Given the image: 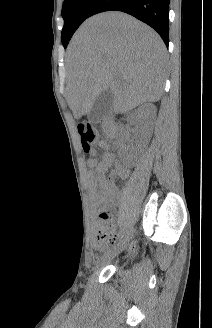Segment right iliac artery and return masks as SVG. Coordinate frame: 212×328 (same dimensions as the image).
<instances>
[{
	"label": "right iliac artery",
	"instance_id": "82829eb1",
	"mask_svg": "<svg viewBox=\"0 0 212 328\" xmlns=\"http://www.w3.org/2000/svg\"><path fill=\"white\" fill-rule=\"evenodd\" d=\"M124 236V229H121L119 232V237L122 238Z\"/></svg>",
	"mask_w": 212,
	"mask_h": 328
}]
</instances>
